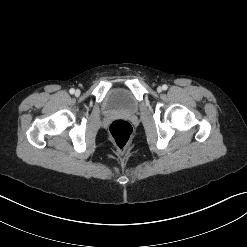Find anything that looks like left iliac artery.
Wrapping results in <instances>:
<instances>
[{"label": "left iliac artery", "instance_id": "1", "mask_svg": "<svg viewBox=\"0 0 247 247\" xmlns=\"http://www.w3.org/2000/svg\"><path fill=\"white\" fill-rule=\"evenodd\" d=\"M167 88H168V86H167L166 84H164V85L162 86V89H163V90H167Z\"/></svg>", "mask_w": 247, "mask_h": 247}]
</instances>
